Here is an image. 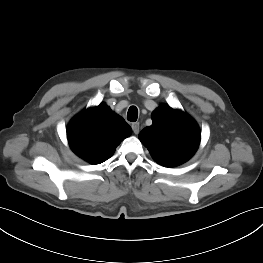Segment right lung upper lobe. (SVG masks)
<instances>
[{
    "label": "right lung upper lobe",
    "mask_w": 263,
    "mask_h": 263,
    "mask_svg": "<svg viewBox=\"0 0 263 263\" xmlns=\"http://www.w3.org/2000/svg\"><path fill=\"white\" fill-rule=\"evenodd\" d=\"M130 134L131 127L105 103L84 110L67 128L71 149L91 164L109 159L118 144Z\"/></svg>",
    "instance_id": "right-lung-upper-lobe-1"
}]
</instances>
